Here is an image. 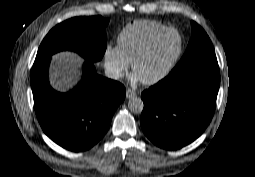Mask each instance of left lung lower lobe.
<instances>
[{"instance_id":"0a47b994","label":"left lung lower lobe","mask_w":255,"mask_h":177,"mask_svg":"<svg viewBox=\"0 0 255 177\" xmlns=\"http://www.w3.org/2000/svg\"><path fill=\"white\" fill-rule=\"evenodd\" d=\"M219 84L217 62L196 63L170 73L141 95L143 132L164 149L191 143L212 119Z\"/></svg>"}]
</instances>
